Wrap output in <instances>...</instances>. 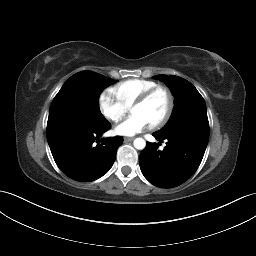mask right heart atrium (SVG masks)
Masks as SVG:
<instances>
[{"mask_svg":"<svg viewBox=\"0 0 256 256\" xmlns=\"http://www.w3.org/2000/svg\"><path fill=\"white\" fill-rule=\"evenodd\" d=\"M98 105L102 115L112 122L120 121L127 113V108L107 92L101 93Z\"/></svg>","mask_w":256,"mask_h":256,"instance_id":"obj_1","label":"right heart atrium"}]
</instances>
